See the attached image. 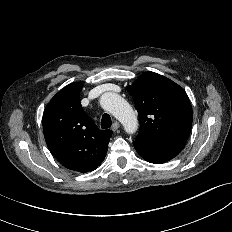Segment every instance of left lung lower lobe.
<instances>
[{
	"mask_svg": "<svg viewBox=\"0 0 232 232\" xmlns=\"http://www.w3.org/2000/svg\"><path fill=\"white\" fill-rule=\"evenodd\" d=\"M185 141L171 140L156 143L134 141L136 151L148 162L160 164L177 156L185 146Z\"/></svg>",
	"mask_w": 232,
	"mask_h": 232,
	"instance_id": "left-lung-lower-lobe-1",
	"label": "left lung lower lobe"
}]
</instances>
